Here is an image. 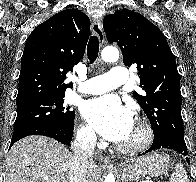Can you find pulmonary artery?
Listing matches in <instances>:
<instances>
[{
  "label": "pulmonary artery",
  "mask_w": 196,
  "mask_h": 182,
  "mask_svg": "<svg viewBox=\"0 0 196 182\" xmlns=\"http://www.w3.org/2000/svg\"><path fill=\"white\" fill-rule=\"evenodd\" d=\"M128 71L122 67H112L108 74L95 76L83 82L78 92L83 94H102L124 85Z\"/></svg>",
  "instance_id": "1"
}]
</instances>
